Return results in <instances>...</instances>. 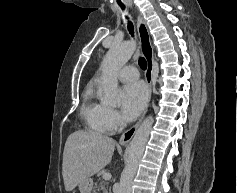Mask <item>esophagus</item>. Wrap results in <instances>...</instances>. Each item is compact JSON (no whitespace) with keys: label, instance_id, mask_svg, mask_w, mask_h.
<instances>
[{"label":"esophagus","instance_id":"1","mask_svg":"<svg viewBox=\"0 0 237 193\" xmlns=\"http://www.w3.org/2000/svg\"><path fill=\"white\" fill-rule=\"evenodd\" d=\"M137 30H138V35L140 39V46L141 50L145 56V59L147 61V70L145 74V80L148 86L149 90V100L151 98V93H152V76H153V68H154V63H153V58H154V52H153V47L150 39V34L148 31V28L146 26V23L144 19L142 18L141 15L137 16ZM148 109V105L146 109L144 110L141 118L139 121L132 126L131 128L127 129L120 137L119 143L121 145L128 144L131 139L133 138L137 128L139 127L144 115L146 114Z\"/></svg>","mask_w":237,"mask_h":193}]
</instances>
